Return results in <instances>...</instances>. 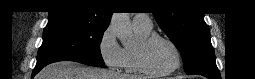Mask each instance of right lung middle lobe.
<instances>
[{
    "label": "right lung middle lobe",
    "mask_w": 255,
    "mask_h": 79,
    "mask_svg": "<svg viewBox=\"0 0 255 79\" xmlns=\"http://www.w3.org/2000/svg\"><path fill=\"white\" fill-rule=\"evenodd\" d=\"M104 27L69 22L48 23L36 66L61 60H71L91 66H103L100 52Z\"/></svg>",
    "instance_id": "dd1d6c3e"
}]
</instances>
